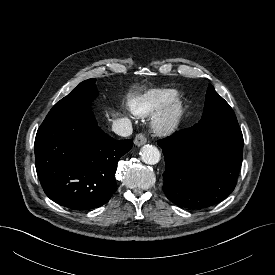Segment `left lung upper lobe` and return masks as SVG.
<instances>
[{
	"label": "left lung upper lobe",
	"mask_w": 275,
	"mask_h": 275,
	"mask_svg": "<svg viewBox=\"0 0 275 275\" xmlns=\"http://www.w3.org/2000/svg\"><path fill=\"white\" fill-rule=\"evenodd\" d=\"M199 123L212 130L240 129L232 108L211 84L206 93L204 112Z\"/></svg>",
	"instance_id": "left-lung-upper-lobe-1"
}]
</instances>
